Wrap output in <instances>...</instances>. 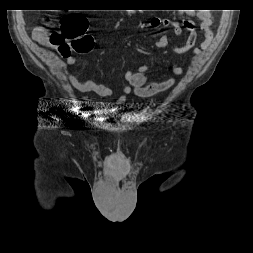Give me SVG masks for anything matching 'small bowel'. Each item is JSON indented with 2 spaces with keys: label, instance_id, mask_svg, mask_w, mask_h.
I'll use <instances>...</instances> for the list:
<instances>
[{
  "label": "small bowel",
  "instance_id": "1",
  "mask_svg": "<svg viewBox=\"0 0 253 253\" xmlns=\"http://www.w3.org/2000/svg\"><path fill=\"white\" fill-rule=\"evenodd\" d=\"M197 20L199 24V32L195 31L194 24L189 19H183L178 22L171 19L153 18L150 20V25L153 27H161L162 29L169 28L173 31L176 37L181 36L183 30L189 32L186 42L182 45L175 44L173 47L174 52L177 54H185L192 51L194 55L201 54V49L196 46L197 42L201 40V48L208 49L213 38L211 30L212 17L209 11H198ZM34 40L41 45H49V36L44 27H38L33 33ZM168 45L167 35L162 31L158 36L155 46L157 48H165ZM66 66L75 64V58L68 56L65 61ZM149 67L143 64L137 68L136 71L128 70L124 75L126 85L118 87L122 95L119 99L120 102H125L127 96L131 93L138 97H151L160 92L166 91L176 83V77H171L163 81L148 82L147 71ZM172 73L175 76L183 74V69L179 66L178 62L173 63ZM68 79L71 84L80 92H94L102 98H108L112 95L113 90L108 85L97 83L93 80L80 81L73 74H68Z\"/></svg>",
  "mask_w": 253,
  "mask_h": 253
}]
</instances>
